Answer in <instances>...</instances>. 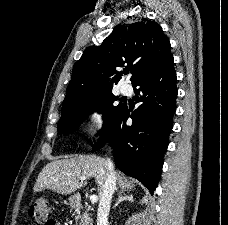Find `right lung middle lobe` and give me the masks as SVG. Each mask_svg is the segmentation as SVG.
<instances>
[{
	"label": "right lung middle lobe",
	"instance_id": "right-lung-middle-lobe-1",
	"mask_svg": "<svg viewBox=\"0 0 228 225\" xmlns=\"http://www.w3.org/2000/svg\"><path fill=\"white\" fill-rule=\"evenodd\" d=\"M117 99L118 97L110 91L62 107V116L57 127L58 133L64 135L71 133L89 114L95 111L103 114V128L98 133L103 132L125 106L123 103H119L117 106L113 105Z\"/></svg>",
	"mask_w": 228,
	"mask_h": 225
}]
</instances>
